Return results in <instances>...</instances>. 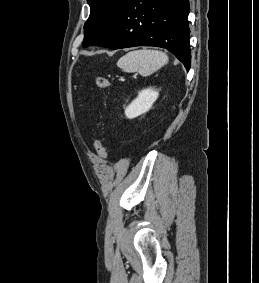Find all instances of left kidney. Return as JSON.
Segmentation results:
<instances>
[{
  "label": "left kidney",
  "mask_w": 259,
  "mask_h": 283,
  "mask_svg": "<svg viewBox=\"0 0 259 283\" xmlns=\"http://www.w3.org/2000/svg\"><path fill=\"white\" fill-rule=\"evenodd\" d=\"M159 96L158 91L147 88L138 93V97L134 99L125 109V115L128 119H133L149 111L153 103Z\"/></svg>",
  "instance_id": "obj_1"
}]
</instances>
